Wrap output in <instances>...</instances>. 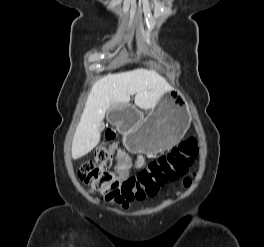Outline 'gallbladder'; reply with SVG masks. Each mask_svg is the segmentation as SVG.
Wrapping results in <instances>:
<instances>
[{"instance_id": "bac80fb5", "label": "gallbladder", "mask_w": 264, "mask_h": 247, "mask_svg": "<svg viewBox=\"0 0 264 247\" xmlns=\"http://www.w3.org/2000/svg\"><path fill=\"white\" fill-rule=\"evenodd\" d=\"M100 123H103V122H100ZM100 126H104V124H101ZM103 128H104V127H101V128L99 129V131H97V132L102 131Z\"/></svg>"}]
</instances>
